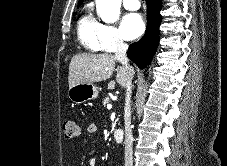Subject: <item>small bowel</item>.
I'll return each instance as SVG.
<instances>
[{"instance_id": "1", "label": "small bowel", "mask_w": 227, "mask_h": 166, "mask_svg": "<svg viewBox=\"0 0 227 166\" xmlns=\"http://www.w3.org/2000/svg\"><path fill=\"white\" fill-rule=\"evenodd\" d=\"M87 131L90 133V134H95L97 132V127L94 123H89L87 125ZM95 159L93 157H90L88 162H89V166H94L95 165Z\"/></svg>"}]
</instances>
